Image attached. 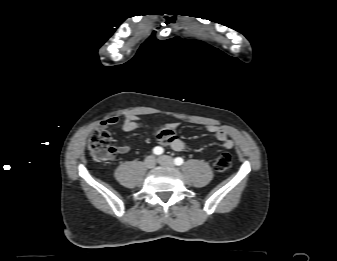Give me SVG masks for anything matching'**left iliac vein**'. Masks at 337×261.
<instances>
[{"mask_svg": "<svg viewBox=\"0 0 337 261\" xmlns=\"http://www.w3.org/2000/svg\"><path fill=\"white\" fill-rule=\"evenodd\" d=\"M158 163L164 166H173V158L167 155H162L158 158Z\"/></svg>", "mask_w": 337, "mask_h": 261, "instance_id": "1", "label": "left iliac vein"}]
</instances>
